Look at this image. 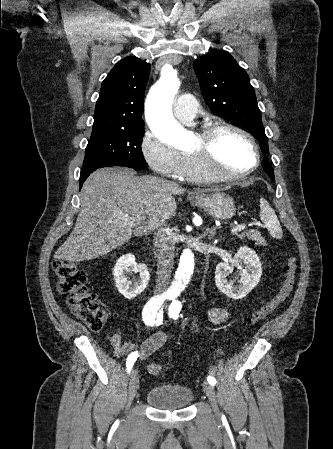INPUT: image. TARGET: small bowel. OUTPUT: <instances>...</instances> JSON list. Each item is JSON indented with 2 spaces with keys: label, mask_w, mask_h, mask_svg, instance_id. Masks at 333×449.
<instances>
[{
  "label": "small bowel",
  "mask_w": 333,
  "mask_h": 449,
  "mask_svg": "<svg viewBox=\"0 0 333 449\" xmlns=\"http://www.w3.org/2000/svg\"><path fill=\"white\" fill-rule=\"evenodd\" d=\"M228 317V310L224 307H214L209 311V318L215 322H222ZM167 342L166 334L163 332H156L147 338L141 345L125 338L124 330L115 331L110 337V343L114 354L117 357L130 355L133 352H138L141 357H146L154 352L164 348Z\"/></svg>",
  "instance_id": "c3829d8e"
}]
</instances>
